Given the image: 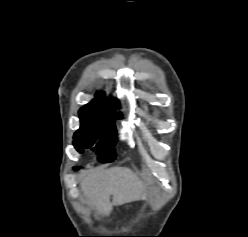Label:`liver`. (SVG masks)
<instances>
[{"mask_svg": "<svg viewBox=\"0 0 248 237\" xmlns=\"http://www.w3.org/2000/svg\"><path fill=\"white\" fill-rule=\"evenodd\" d=\"M80 187L90 204L102 215H109L113 204L122 205L141 199L146 189L138 173L127 167L91 172L81 180Z\"/></svg>", "mask_w": 248, "mask_h": 237, "instance_id": "obj_1", "label": "liver"}]
</instances>
